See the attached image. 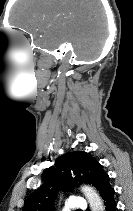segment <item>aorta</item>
<instances>
[{
  "instance_id": "762f6f07",
  "label": "aorta",
  "mask_w": 133,
  "mask_h": 211,
  "mask_svg": "<svg viewBox=\"0 0 133 211\" xmlns=\"http://www.w3.org/2000/svg\"><path fill=\"white\" fill-rule=\"evenodd\" d=\"M82 192L84 193L91 211H104L105 206L102 202L101 197L99 194L90 186H83Z\"/></svg>"
}]
</instances>
